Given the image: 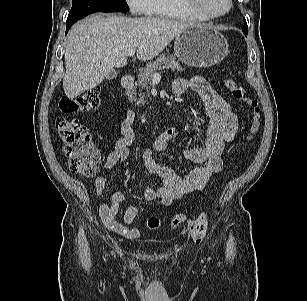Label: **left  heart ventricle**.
<instances>
[{
    "mask_svg": "<svg viewBox=\"0 0 307 301\" xmlns=\"http://www.w3.org/2000/svg\"><path fill=\"white\" fill-rule=\"evenodd\" d=\"M204 5L215 10L223 11L227 8V0H201Z\"/></svg>",
    "mask_w": 307,
    "mask_h": 301,
    "instance_id": "b2bd125f",
    "label": "left heart ventricle"
}]
</instances>
